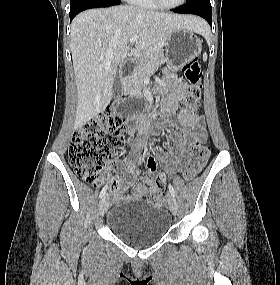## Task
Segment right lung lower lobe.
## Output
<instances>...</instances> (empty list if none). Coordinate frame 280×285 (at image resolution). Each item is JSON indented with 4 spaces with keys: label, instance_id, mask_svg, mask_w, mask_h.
Listing matches in <instances>:
<instances>
[{
    "label": "right lung lower lobe",
    "instance_id": "obj_1",
    "mask_svg": "<svg viewBox=\"0 0 280 285\" xmlns=\"http://www.w3.org/2000/svg\"><path fill=\"white\" fill-rule=\"evenodd\" d=\"M120 4L119 0H81L70 5V21L81 11L90 8L109 7Z\"/></svg>",
    "mask_w": 280,
    "mask_h": 285
}]
</instances>
